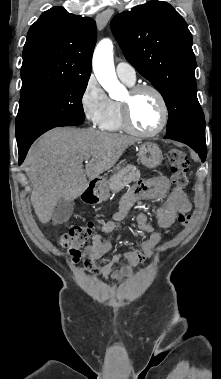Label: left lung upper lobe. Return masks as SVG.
Masks as SVG:
<instances>
[{"label":"left lung upper lobe","mask_w":221,"mask_h":379,"mask_svg":"<svg viewBox=\"0 0 221 379\" xmlns=\"http://www.w3.org/2000/svg\"><path fill=\"white\" fill-rule=\"evenodd\" d=\"M110 25L128 62L163 96L167 133L205 139L192 34L182 16L169 3L150 1L117 14Z\"/></svg>","instance_id":"5c2ea615"}]
</instances>
